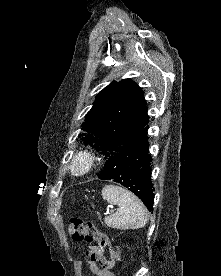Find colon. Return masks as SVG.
Instances as JSON below:
<instances>
[{
	"label": "colon",
	"instance_id": "colon-1",
	"mask_svg": "<svg viewBox=\"0 0 221 276\" xmlns=\"http://www.w3.org/2000/svg\"><path fill=\"white\" fill-rule=\"evenodd\" d=\"M68 234L74 241L91 242L95 243L99 248H107L110 252V259H108L107 267L110 269L120 261L119 248L112 245L108 237L101 233L93 222L72 218L69 222Z\"/></svg>",
	"mask_w": 221,
	"mask_h": 276
}]
</instances>
